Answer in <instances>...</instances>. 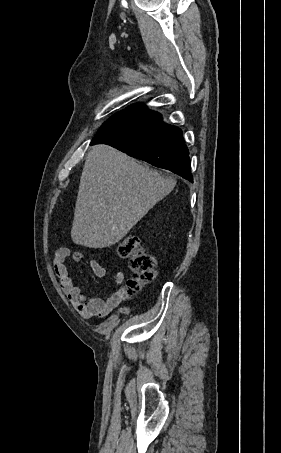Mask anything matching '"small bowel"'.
Masks as SVG:
<instances>
[{"instance_id": "small-bowel-1", "label": "small bowel", "mask_w": 281, "mask_h": 453, "mask_svg": "<svg viewBox=\"0 0 281 453\" xmlns=\"http://www.w3.org/2000/svg\"><path fill=\"white\" fill-rule=\"evenodd\" d=\"M71 256V251L67 248L60 249L54 256L53 264L56 274L60 280L62 289L69 295V298L78 306L82 315L86 319L103 317L108 315L114 308L122 303L126 297L127 287L125 284V272L117 270L114 274V281L117 285V290L113 292L106 300L94 298L90 299L86 304H83L84 296L81 288L74 284L69 277L67 260ZM90 269L93 275L97 278H106L107 271L99 263L93 259L89 262Z\"/></svg>"}]
</instances>
